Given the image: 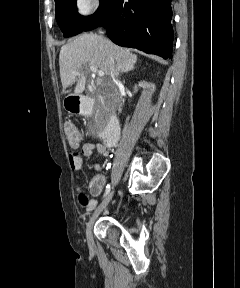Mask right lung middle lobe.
Returning <instances> with one entry per match:
<instances>
[{
    "label": "right lung middle lobe",
    "instance_id": "1",
    "mask_svg": "<svg viewBox=\"0 0 240 288\" xmlns=\"http://www.w3.org/2000/svg\"><path fill=\"white\" fill-rule=\"evenodd\" d=\"M108 0H100L98 10L88 17L81 16L75 6L76 0H55L56 20L64 37H70L84 31L103 11Z\"/></svg>",
    "mask_w": 240,
    "mask_h": 288
}]
</instances>
